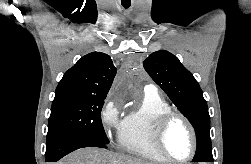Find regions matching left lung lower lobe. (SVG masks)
I'll list each match as a JSON object with an SVG mask.
<instances>
[{
    "label": "left lung lower lobe",
    "mask_w": 251,
    "mask_h": 164,
    "mask_svg": "<svg viewBox=\"0 0 251 164\" xmlns=\"http://www.w3.org/2000/svg\"><path fill=\"white\" fill-rule=\"evenodd\" d=\"M193 162H213V160H210V161H196V160H193Z\"/></svg>",
    "instance_id": "obj_1"
}]
</instances>
